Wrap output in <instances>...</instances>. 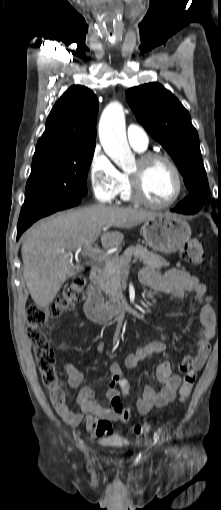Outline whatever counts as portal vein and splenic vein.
<instances>
[{
  "instance_id": "1",
  "label": "portal vein and splenic vein",
  "mask_w": 221,
  "mask_h": 510,
  "mask_svg": "<svg viewBox=\"0 0 221 510\" xmlns=\"http://www.w3.org/2000/svg\"><path fill=\"white\" fill-rule=\"evenodd\" d=\"M95 240L96 238L94 241ZM79 250H81V248ZM84 255L96 261H104L105 263H109L111 259L110 255L105 254L104 251L100 249L92 248L90 245L85 249Z\"/></svg>"
}]
</instances>
